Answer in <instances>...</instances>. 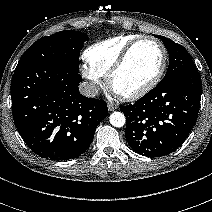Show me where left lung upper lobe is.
I'll return each mask as SVG.
<instances>
[{
	"label": "left lung upper lobe",
	"mask_w": 212,
	"mask_h": 212,
	"mask_svg": "<svg viewBox=\"0 0 212 212\" xmlns=\"http://www.w3.org/2000/svg\"><path fill=\"white\" fill-rule=\"evenodd\" d=\"M155 37L163 41L169 53V68L159 84L167 83L179 75L197 70L189 53L183 46L160 35H155Z\"/></svg>",
	"instance_id": "5c2ea615"
}]
</instances>
